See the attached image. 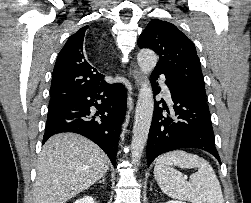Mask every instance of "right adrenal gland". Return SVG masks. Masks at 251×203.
I'll return each mask as SVG.
<instances>
[{"label": "right adrenal gland", "mask_w": 251, "mask_h": 203, "mask_svg": "<svg viewBox=\"0 0 251 203\" xmlns=\"http://www.w3.org/2000/svg\"><path fill=\"white\" fill-rule=\"evenodd\" d=\"M100 182H103V183H104V182H105V177H103V179H102Z\"/></svg>", "instance_id": "right-adrenal-gland-1"}]
</instances>
